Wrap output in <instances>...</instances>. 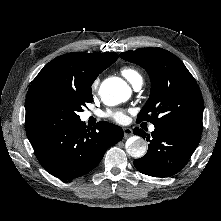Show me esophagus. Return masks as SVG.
Here are the masks:
<instances>
[{"label":"esophagus","mask_w":221,"mask_h":221,"mask_svg":"<svg viewBox=\"0 0 221 221\" xmlns=\"http://www.w3.org/2000/svg\"><path fill=\"white\" fill-rule=\"evenodd\" d=\"M123 132H124V137L127 138V137H130L132 136L133 132H132V129L131 128H124L123 129Z\"/></svg>","instance_id":"34e87169"}]
</instances>
